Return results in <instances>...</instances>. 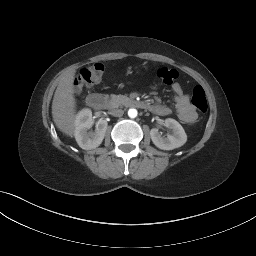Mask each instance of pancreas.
<instances>
[{
	"label": "pancreas",
	"instance_id": "obj_1",
	"mask_svg": "<svg viewBox=\"0 0 256 256\" xmlns=\"http://www.w3.org/2000/svg\"><path fill=\"white\" fill-rule=\"evenodd\" d=\"M106 97L108 98L109 105L111 107H118L120 105L125 104L127 101H129V98L124 95L111 94L110 96L106 95Z\"/></svg>",
	"mask_w": 256,
	"mask_h": 256
}]
</instances>
